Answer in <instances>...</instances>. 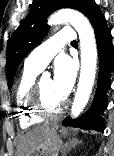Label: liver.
Listing matches in <instances>:
<instances>
[{"label": "liver", "mask_w": 114, "mask_h": 156, "mask_svg": "<svg viewBox=\"0 0 114 156\" xmlns=\"http://www.w3.org/2000/svg\"><path fill=\"white\" fill-rule=\"evenodd\" d=\"M51 126L43 124L21 135L16 145L15 156H31L46 138Z\"/></svg>", "instance_id": "1"}]
</instances>
